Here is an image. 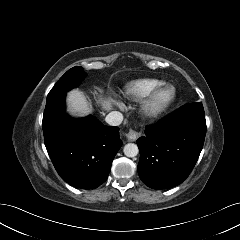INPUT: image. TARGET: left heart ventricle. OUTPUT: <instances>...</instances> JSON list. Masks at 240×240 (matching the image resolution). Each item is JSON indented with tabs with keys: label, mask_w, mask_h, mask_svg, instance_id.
<instances>
[{
	"label": "left heart ventricle",
	"mask_w": 240,
	"mask_h": 240,
	"mask_svg": "<svg viewBox=\"0 0 240 240\" xmlns=\"http://www.w3.org/2000/svg\"><path fill=\"white\" fill-rule=\"evenodd\" d=\"M166 95H167V93H164L162 97L164 98V97H166Z\"/></svg>",
	"instance_id": "obj_1"
}]
</instances>
